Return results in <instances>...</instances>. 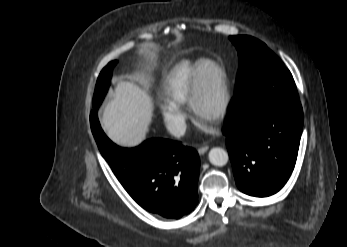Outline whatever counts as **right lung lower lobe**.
Wrapping results in <instances>:
<instances>
[{
  "label": "right lung lower lobe",
  "instance_id": "right-lung-lower-lobe-1",
  "mask_svg": "<svg viewBox=\"0 0 347 247\" xmlns=\"http://www.w3.org/2000/svg\"><path fill=\"white\" fill-rule=\"evenodd\" d=\"M91 130L98 148L128 194L147 211L179 219L198 203L200 161L197 152L180 142L155 138L127 149L104 134L94 105Z\"/></svg>",
  "mask_w": 347,
  "mask_h": 247
}]
</instances>
